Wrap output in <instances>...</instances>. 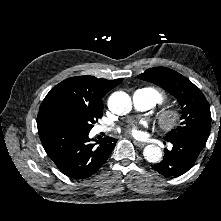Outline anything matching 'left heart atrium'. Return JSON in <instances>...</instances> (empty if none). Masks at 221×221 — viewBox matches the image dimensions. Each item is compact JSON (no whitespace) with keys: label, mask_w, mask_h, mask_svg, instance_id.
Returning a JSON list of instances; mask_svg holds the SVG:
<instances>
[{"label":"left heart atrium","mask_w":221,"mask_h":221,"mask_svg":"<svg viewBox=\"0 0 221 221\" xmlns=\"http://www.w3.org/2000/svg\"><path fill=\"white\" fill-rule=\"evenodd\" d=\"M126 131L134 137H139L141 135V130H140L139 126L136 124H131V125L127 126Z\"/></svg>","instance_id":"left-heart-atrium-1"}]
</instances>
